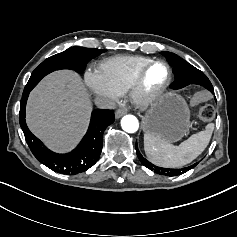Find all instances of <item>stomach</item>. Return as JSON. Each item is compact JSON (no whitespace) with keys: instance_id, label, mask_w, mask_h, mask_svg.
I'll return each mask as SVG.
<instances>
[{"instance_id":"obj_1","label":"stomach","mask_w":237,"mask_h":237,"mask_svg":"<svg viewBox=\"0 0 237 237\" xmlns=\"http://www.w3.org/2000/svg\"><path fill=\"white\" fill-rule=\"evenodd\" d=\"M189 126L186 103L174 92L152 101L143 122V130L146 133H151L168 143L182 139Z\"/></svg>"}]
</instances>
